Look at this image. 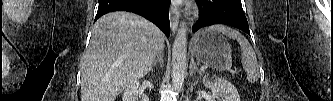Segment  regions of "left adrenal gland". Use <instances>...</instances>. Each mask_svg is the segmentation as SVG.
<instances>
[{"instance_id": "a2214340", "label": "left adrenal gland", "mask_w": 333, "mask_h": 101, "mask_svg": "<svg viewBox=\"0 0 333 101\" xmlns=\"http://www.w3.org/2000/svg\"><path fill=\"white\" fill-rule=\"evenodd\" d=\"M195 71H197L200 76L202 75V72L199 70V68L196 65V63L194 62L193 58H191L190 67H189L190 75L193 76Z\"/></svg>"}]
</instances>
